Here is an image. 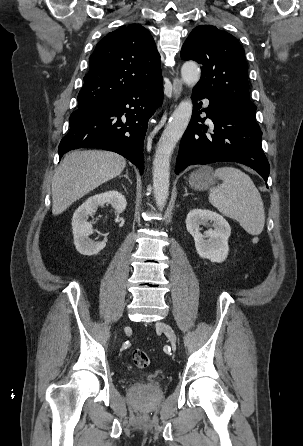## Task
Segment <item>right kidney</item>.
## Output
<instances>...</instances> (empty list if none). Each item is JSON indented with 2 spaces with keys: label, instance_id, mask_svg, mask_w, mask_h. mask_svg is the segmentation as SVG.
<instances>
[{
  "label": "right kidney",
  "instance_id": "1",
  "mask_svg": "<svg viewBox=\"0 0 303 446\" xmlns=\"http://www.w3.org/2000/svg\"><path fill=\"white\" fill-rule=\"evenodd\" d=\"M105 203L111 204L118 213H122L127 205L124 195L112 190L89 197L73 214L74 245L82 255H96L106 246V241H94L89 238L93 230L91 223L88 222L89 216L96 212L98 206Z\"/></svg>",
  "mask_w": 303,
  "mask_h": 446
}]
</instances>
